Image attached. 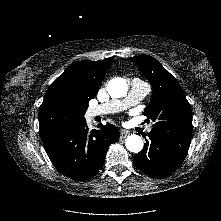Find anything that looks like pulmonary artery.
I'll return each mask as SVG.
<instances>
[{
	"label": "pulmonary artery",
	"instance_id": "pulmonary-artery-1",
	"mask_svg": "<svg viewBox=\"0 0 221 221\" xmlns=\"http://www.w3.org/2000/svg\"><path fill=\"white\" fill-rule=\"evenodd\" d=\"M149 86L147 83L134 79L131 82V88L126 98L122 100H113L88 110L89 117H96L99 115L116 113L122 111L132 105L139 103L149 92ZM151 126L147 128V132H150Z\"/></svg>",
	"mask_w": 221,
	"mask_h": 221
}]
</instances>
